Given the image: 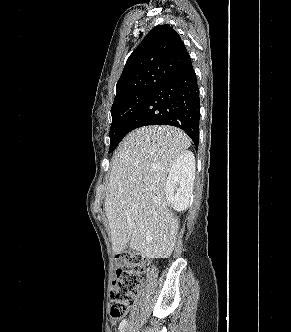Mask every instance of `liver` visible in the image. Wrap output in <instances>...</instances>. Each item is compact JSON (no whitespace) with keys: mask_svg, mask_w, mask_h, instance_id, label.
Masks as SVG:
<instances>
[{"mask_svg":"<svg viewBox=\"0 0 291 332\" xmlns=\"http://www.w3.org/2000/svg\"><path fill=\"white\" fill-rule=\"evenodd\" d=\"M190 145V138L172 126H145L121 142L105 198L115 254L129 246L148 258L171 256L179 223L167 207L166 178Z\"/></svg>","mask_w":291,"mask_h":332,"instance_id":"obj_1","label":"liver"}]
</instances>
